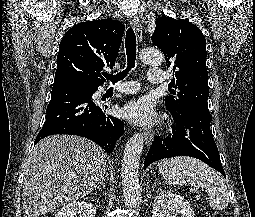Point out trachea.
Masks as SVG:
<instances>
[{"mask_svg": "<svg viewBox=\"0 0 255 217\" xmlns=\"http://www.w3.org/2000/svg\"><path fill=\"white\" fill-rule=\"evenodd\" d=\"M125 48L127 54V68L116 75L106 74L105 78L110 80L112 83H116L123 80L128 72L135 66L136 59V36L134 30L130 27L126 32Z\"/></svg>", "mask_w": 255, "mask_h": 217, "instance_id": "3493384b", "label": "trachea"}]
</instances>
